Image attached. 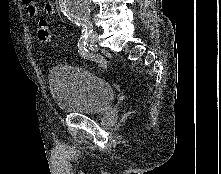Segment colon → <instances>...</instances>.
Wrapping results in <instances>:
<instances>
[{"label": "colon", "mask_w": 221, "mask_h": 174, "mask_svg": "<svg viewBox=\"0 0 221 174\" xmlns=\"http://www.w3.org/2000/svg\"><path fill=\"white\" fill-rule=\"evenodd\" d=\"M38 38L42 43L45 44L51 42V31L45 19H40L38 23Z\"/></svg>", "instance_id": "1"}]
</instances>
